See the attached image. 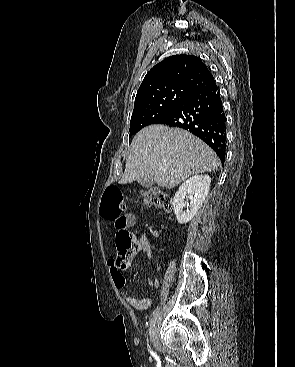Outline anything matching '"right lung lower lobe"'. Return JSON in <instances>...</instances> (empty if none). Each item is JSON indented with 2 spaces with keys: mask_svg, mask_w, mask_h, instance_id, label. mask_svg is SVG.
<instances>
[{
  "mask_svg": "<svg viewBox=\"0 0 295 367\" xmlns=\"http://www.w3.org/2000/svg\"><path fill=\"white\" fill-rule=\"evenodd\" d=\"M158 124L183 128L193 133L213 148L220 160L224 161L226 117L215 81L193 92Z\"/></svg>",
  "mask_w": 295,
  "mask_h": 367,
  "instance_id": "right-lung-lower-lobe-1",
  "label": "right lung lower lobe"
}]
</instances>
